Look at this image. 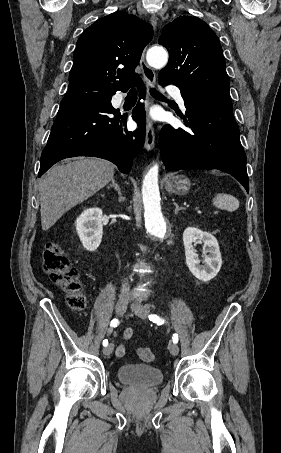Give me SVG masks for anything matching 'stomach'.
<instances>
[{"label":"stomach","instance_id":"obj_1","mask_svg":"<svg viewBox=\"0 0 281 453\" xmlns=\"http://www.w3.org/2000/svg\"><path fill=\"white\" fill-rule=\"evenodd\" d=\"M166 190L175 192V194H186L190 190L191 182L187 176H168L165 180Z\"/></svg>","mask_w":281,"mask_h":453}]
</instances>
